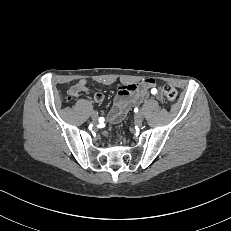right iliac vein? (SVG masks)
Returning a JSON list of instances; mask_svg holds the SVG:
<instances>
[{"label": "right iliac vein", "instance_id": "63e3f726", "mask_svg": "<svg viewBox=\"0 0 231 231\" xmlns=\"http://www.w3.org/2000/svg\"><path fill=\"white\" fill-rule=\"evenodd\" d=\"M91 119L93 122H96L98 120V114L95 111L91 112Z\"/></svg>", "mask_w": 231, "mask_h": 231}]
</instances>
